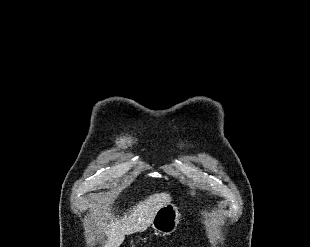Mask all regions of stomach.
Instances as JSON below:
<instances>
[{
	"instance_id": "0dacf381",
	"label": "stomach",
	"mask_w": 310,
	"mask_h": 247,
	"mask_svg": "<svg viewBox=\"0 0 310 247\" xmlns=\"http://www.w3.org/2000/svg\"><path fill=\"white\" fill-rule=\"evenodd\" d=\"M180 218L179 208L175 204L168 202L156 211L151 225L159 234L170 235L177 230Z\"/></svg>"
}]
</instances>
